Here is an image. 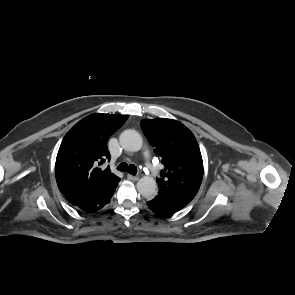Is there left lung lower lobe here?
I'll use <instances>...</instances> for the list:
<instances>
[{
    "label": "left lung lower lobe",
    "instance_id": "left-lung-lower-lobe-1",
    "mask_svg": "<svg viewBox=\"0 0 295 295\" xmlns=\"http://www.w3.org/2000/svg\"><path fill=\"white\" fill-rule=\"evenodd\" d=\"M191 200L188 197L159 190L158 194L147 202V205L155 214L169 216L184 208Z\"/></svg>",
    "mask_w": 295,
    "mask_h": 295
}]
</instances>
